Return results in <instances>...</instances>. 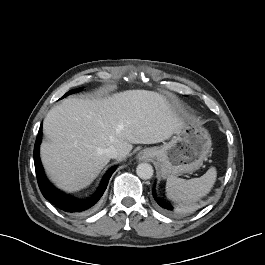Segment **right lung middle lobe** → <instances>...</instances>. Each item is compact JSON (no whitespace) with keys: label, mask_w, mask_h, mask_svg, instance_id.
<instances>
[{"label":"right lung middle lobe","mask_w":265,"mask_h":265,"mask_svg":"<svg viewBox=\"0 0 265 265\" xmlns=\"http://www.w3.org/2000/svg\"><path fill=\"white\" fill-rule=\"evenodd\" d=\"M79 91H81V88L70 90L62 98L68 96L69 94L76 93V92H79Z\"/></svg>","instance_id":"1"}]
</instances>
